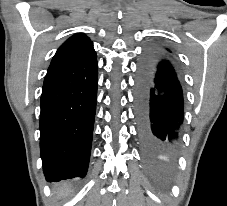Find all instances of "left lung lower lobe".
<instances>
[{"instance_id":"obj_1","label":"left lung lower lobe","mask_w":227,"mask_h":206,"mask_svg":"<svg viewBox=\"0 0 227 206\" xmlns=\"http://www.w3.org/2000/svg\"><path fill=\"white\" fill-rule=\"evenodd\" d=\"M183 93L171 58L156 49L141 61L135 87L138 138L148 151L174 152L183 122Z\"/></svg>"}]
</instances>
